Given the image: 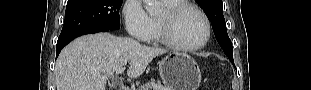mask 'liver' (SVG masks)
<instances>
[{"instance_id":"6515ba94","label":"liver","mask_w":311,"mask_h":90,"mask_svg":"<svg viewBox=\"0 0 311 90\" xmlns=\"http://www.w3.org/2000/svg\"><path fill=\"white\" fill-rule=\"evenodd\" d=\"M165 49L144 46L110 33L75 39L60 53L55 66L57 90H106L107 78L127 63V75L138 78Z\"/></svg>"}]
</instances>
